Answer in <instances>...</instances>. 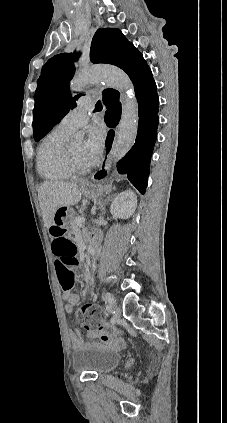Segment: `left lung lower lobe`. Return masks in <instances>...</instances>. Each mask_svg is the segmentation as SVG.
Listing matches in <instances>:
<instances>
[{"label": "left lung lower lobe", "mask_w": 227, "mask_h": 423, "mask_svg": "<svg viewBox=\"0 0 227 423\" xmlns=\"http://www.w3.org/2000/svg\"><path fill=\"white\" fill-rule=\"evenodd\" d=\"M135 93L139 110L137 137L134 146L119 161L117 167L119 173L124 174L140 193L144 194L159 122L157 115L159 99L151 72L138 83ZM120 117L121 106H113L105 112V121L108 127H115Z\"/></svg>", "instance_id": "0a47b994"}]
</instances>
